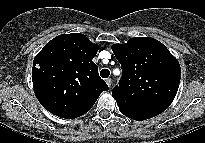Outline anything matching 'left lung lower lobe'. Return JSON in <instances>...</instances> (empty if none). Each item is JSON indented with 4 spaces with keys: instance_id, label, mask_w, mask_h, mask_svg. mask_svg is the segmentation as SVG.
<instances>
[{
    "instance_id": "obj_1",
    "label": "left lung lower lobe",
    "mask_w": 205,
    "mask_h": 143,
    "mask_svg": "<svg viewBox=\"0 0 205 143\" xmlns=\"http://www.w3.org/2000/svg\"><path fill=\"white\" fill-rule=\"evenodd\" d=\"M119 110L125 116L134 120H146L152 118L167 109V107H156V108H128L118 105Z\"/></svg>"
}]
</instances>
